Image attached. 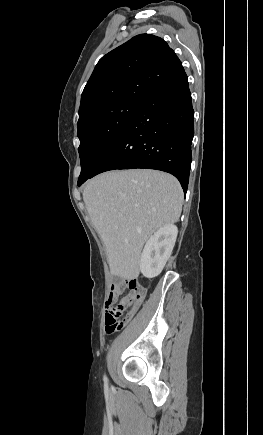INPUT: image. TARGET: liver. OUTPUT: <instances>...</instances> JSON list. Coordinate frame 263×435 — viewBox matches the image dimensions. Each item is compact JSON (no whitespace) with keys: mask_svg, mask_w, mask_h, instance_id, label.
I'll return each instance as SVG.
<instances>
[{"mask_svg":"<svg viewBox=\"0 0 263 435\" xmlns=\"http://www.w3.org/2000/svg\"><path fill=\"white\" fill-rule=\"evenodd\" d=\"M83 200L106 248L110 273L129 280L139 276L144 243L179 220L183 190L164 172L110 171L87 182Z\"/></svg>","mask_w":263,"mask_h":435,"instance_id":"6515ba94","label":"liver"}]
</instances>
